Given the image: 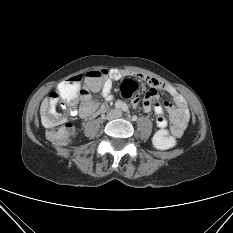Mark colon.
Masks as SVG:
<instances>
[{
    "mask_svg": "<svg viewBox=\"0 0 233 233\" xmlns=\"http://www.w3.org/2000/svg\"><path fill=\"white\" fill-rule=\"evenodd\" d=\"M107 71L96 70L85 75V85L81 90L82 99L92 103L94 102L91 92L100 90L105 79ZM83 77L77 75L64 81L58 91L52 92L49 96L47 111L43 117V123L48 128V138L57 145H65L69 142L73 126L65 121L62 113L61 99L72 101L77 95L78 88ZM138 88V85L133 80H125L121 85V93L129 97ZM154 145L159 149H171L176 145L175 138L167 130H159L153 139Z\"/></svg>",
    "mask_w": 233,
    "mask_h": 233,
    "instance_id": "colon-1",
    "label": "colon"
}]
</instances>
